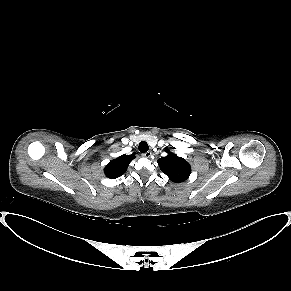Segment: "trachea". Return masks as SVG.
Returning <instances> with one entry per match:
<instances>
[{
	"label": "trachea",
	"instance_id": "trachea-1",
	"mask_svg": "<svg viewBox=\"0 0 291 291\" xmlns=\"http://www.w3.org/2000/svg\"><path fill=\"white\" fill-rule=\"evenodd\" d=\"M138 149L141 153H145L149 150V146H148L147 142L142 141L139 143Z\"/></svg>",
	"mask_w": 291,
	"mask_h": 291
}]
</instances>
